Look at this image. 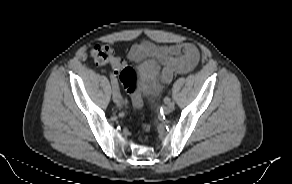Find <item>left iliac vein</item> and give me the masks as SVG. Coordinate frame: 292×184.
Segmentation results:
<instances>
[{"instance_id": "4c4485c4", "label": "left iliac vein", "mask_w": 292, "mask_h": 184, "mask_svg": "<svg viewBox=\"0 0 292 184\" xmlns=\"http://www.w3.org/2000/svg\"><path fill=\"white\" fill-rule=\"evenodd\" d=\"M173 110H174V103L172 101H170L164 107V113L170 114Z\"/></svg>"}]
</instances>
